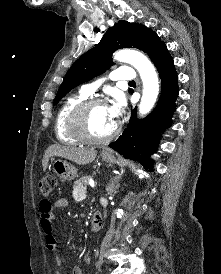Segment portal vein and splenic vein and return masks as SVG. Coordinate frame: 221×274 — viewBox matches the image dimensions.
<instances>
[{"instance_id": "obj_1", "label": "portal vein and splenic vein", "mask_w": 221, "mask_h": 274, "mask_svg": "<svg viewBox=\"0 0 221 274\" xmlns=\"http://www.w3.org/2000/svg\"><path fill=\"white\" fill-rule=\"evenodd\" d=\"M86 189L80 194L81 199H85L86 198Z\"/></svg>"}]
</instances>
